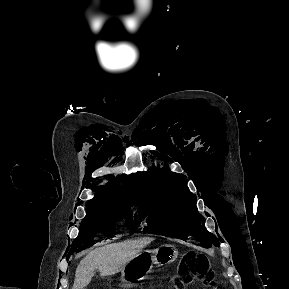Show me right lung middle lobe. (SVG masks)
Masks as SVG:
<instances>
[{"label":"right lung middle lobe","instance_id":"dd1d6c3e","mask_svg":"<svg viewBox=\"0 0 289 289\" xmlns=\"http://www.w3.org/2000/svg\"><path fill=\"white\" fill-rule=\"evenodd\" d=\"M133 205L130 202L87 204V215L81 222L79 235L73 241L70 253L91 247L100 236L106 235L107 239L112 237L119 217L125 219L132 233L137 231L140 218L133 213Z\"/></svg>","mask_w":289,"mask_h":289}]
</instances>
